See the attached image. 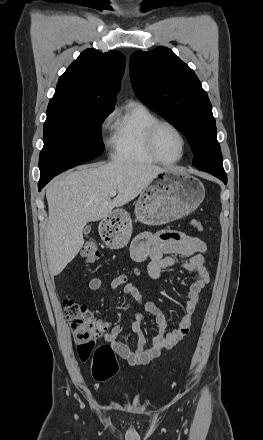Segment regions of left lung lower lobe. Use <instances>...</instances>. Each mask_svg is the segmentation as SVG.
<instances>
[{
	"label": "left lung lower lobe",
	"mask_w": 263,
	"mask_h": 440,
	"mask_svg": "<svg viewBox=\"0 0 263 440\" xmlns=\"http://www.w3.org/2000/svg\"><path fill=\"white\" fill-rule=\"evenodd\" d=\"M210 174L214 175L215 177L219 178L220 180H222L224 182V184H227V176L225 172H211Z\"/></svg>",
	"instance_id": "0a47b994"
}]
</instances>
